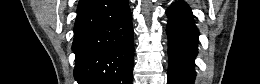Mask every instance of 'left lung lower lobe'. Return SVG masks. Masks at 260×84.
Wrapping results in <instances>:
<instances>
[{
  "label": "left lung lower lobe",
  "instance_id": "obj_1",
  "mask_svg": "<svg viewBox=\"0 0 260 84\" xmlns=\"http://www.w3.org/2000/svg\"><path fill=\"white\" fill-rule=\"evenodd\" d=\"M168 25V83L193 84L194 59L197 55L198 30L192 12L184 2L171 5L167 11Z\"/></svg>",
  "mask_w": 260,
  "mask_h": 84
}]
</instances>
